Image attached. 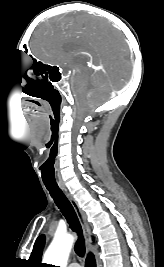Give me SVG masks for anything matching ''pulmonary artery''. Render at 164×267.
I'll return each instance as SVG.
<instances>
[{
    "label": "pulmonary artery",
    "instance_id": "e3ab8cb5",
    "mask_svg": "<svg viewBox=\"0 0 164 267\" xmlns=\"http://www.w3.org/2000/svg\"><path fill=\"white\" fill-rule=\"evenodd\" d=\"M68 267H80L78 263H71Z\"/></svg>",
    "mask_w": 164,
    "mask_h": 267
}]
</instances>
